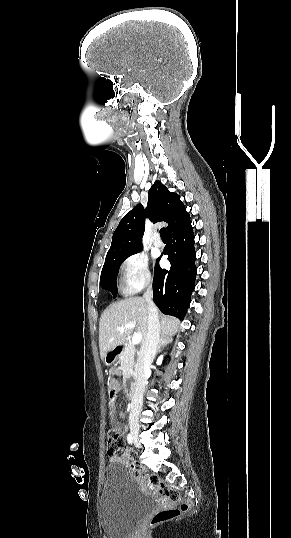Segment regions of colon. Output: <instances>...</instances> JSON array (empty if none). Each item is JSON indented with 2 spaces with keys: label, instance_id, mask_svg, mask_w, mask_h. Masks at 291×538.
<instances>
[{
  "label": "colon",
  "instance_id": "colon-1",
  "mask_svg": "<svg viewBox=\"0 0 291 538\" xmlns=\"http://www.w3.org/2000/svg\"><path fill=\"white\" fill-rule=\"evenodd\" d=\"M111 397H115V393L111 391ZM124 446V440L122 438V435L116 428H112L108 432L107 436V443H106V451L108 455L114 456L118 452L121 451V449ZM132 471L137 476L144 475V471L139 466H132ZM149 484L151 487L155 490V492L162 496L166 497L169 500H171L174 503L179 504V507L171 508V509H164L160 510L157 513L154 514L150 521V527H156L164 522H167L169 520L177 518L181 512L186 511L188 509V504L182 501V497L180 493L172 488H169L165 486L160 478L158 476L150 475L147 477Z\"/></svg>",
  "mask_w": 291,
  "mask_h": 538
}]
</instances>
